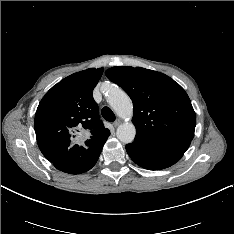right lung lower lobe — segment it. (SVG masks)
Instances as JSON below:
<instances>
[{"mask_svg":"<svg viewBox=\"0 0 234 234\" xmlns=\"http://www.w3.org/2000/svg\"><path fill=\"white\" fill-rule=\"evenodd\" d=\"M110 134L103 137L96 145L92 146L78 159L71 162H63L54 164V166L65 173L80 174L91 169L97 162L103 145Z\"/></svg>","mask_w":234,"mask_h":234,"instance_id":"98d812e1","label":"right lung lower lobe"}]
</instances>
